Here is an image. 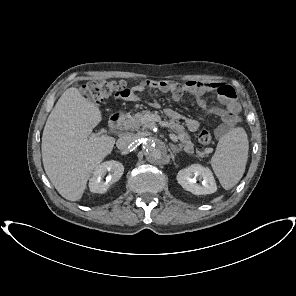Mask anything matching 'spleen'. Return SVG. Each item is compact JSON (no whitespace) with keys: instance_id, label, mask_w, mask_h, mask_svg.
<instances>
[{"instance_id":"spleen-1","label":"spleen","mask_w":296,"mask_h":296,"mask_svg":"<svg viewBox=\"0 0 296 296\" xmlns=\"http://www.w3.org/2000/svg\"><path fill=\"white\" fill-rule=\"evenodd\" d=\"M248 150L247 134L241 127L231 129L219 140L210 163L224 189H231L242 178Z\"/></svg>"}]
</instances>
